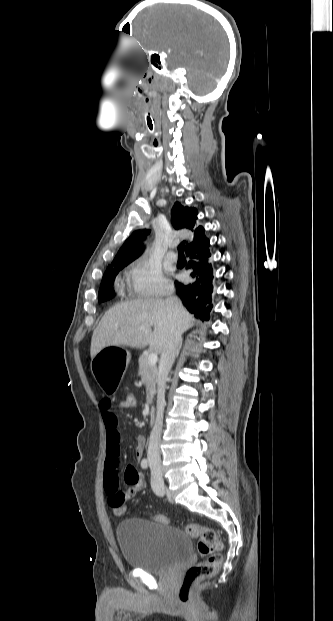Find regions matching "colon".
Here are the masks:
<instances>
[{"label": "colon", "instance_id": "5ec220e1", "mask_svg": "<svg viewBox=\"0 0 333 621\" xmlns=\"http://www.w3.org/2000/svg\"><path fill=\"white\" fill-rule=\"evenodd\" d=\"M120 404L124 409L133 410L138 407V397L134 392H128L123 395ZM125 510L124 505H117L113 509L116 515H123ZM153 520L165 524L169 522L168 518L163 515H155ZM185 532L188 536L198 540V550L205 559L186 571L179 590L181 603H187L190 600L191 590L196 581L215 574L222 563L220 554L222 542L215 530L197 523H190L186 525Z\"/></svg>", "mask_w": 333, "mask_h": 621}]
</instances>
